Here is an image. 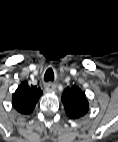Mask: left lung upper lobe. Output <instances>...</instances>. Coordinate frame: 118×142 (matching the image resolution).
Returning <instances> with one entry per match:
<instances>
[{
	"label": "left lung upper lobe",
	"mask_w": 118,
	"mask_h": 142,
	"mask_svg": "<svg viewBox=\"0 0 118 142\" xmlns=\"http://www.w3.org/2000/svg\"><path fill=\"white\" fill-rule=\"evenodd\" d=\"M62 102L67 116L78 119L89 110V103L85 93L77 86L67 87L62 95Z\"/></svg>",
	"instance_id": "1"
}]
</instances>
